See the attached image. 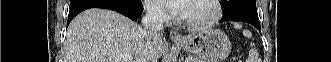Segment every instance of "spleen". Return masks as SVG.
Returning <instances> with one entry per match:
<instances>
[{"mask_svg":"<svg viewBox=\"0 0 331 62\" xmlns=\"http://www.w3.org/2000/svg\"><path fill=\"white\" fill-rule=\"evenodd\" d=\"M234 27L236 29H240L242 28L239 24H234ZM243 35L247 38H251L252 37V34L250 31L248 30H244L243 31ZM257 59H258V53L257 51L253 48L250 50L249 52V58L247 59V62H257Z\"/></svg>","mask_w":331,"mask_h":62,"instance_id":"spleen-1","label":"spleen"}]
</instances>
